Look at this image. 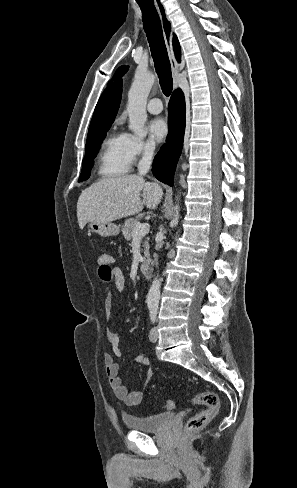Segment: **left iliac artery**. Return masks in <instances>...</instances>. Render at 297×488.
Here are the masks:
<instances>
[{"mask_svg": "<svg viewBox=\"0 0 297 488\" xmlns=\"http://www.w3.org/2000/svg\"><path fill=\"white\" fill-rule=\"evenodd\" d=\"M156 314H157V308L155 307L150 308V318L153 323L156 320Z\"/></svg>", "mask_w": 297, "mask_h": 488, "instance_id": "1", "label": "left iliac artery"}]
</instances>
